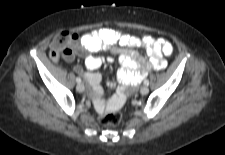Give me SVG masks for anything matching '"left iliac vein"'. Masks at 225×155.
Instances as JSON below:
<instances>
[{"label":"left iliac vein","mask_w":225,"mask_h":155,"mask_svg":"<svg viewBox=\"0 0 225 155\" xmlns=\"http://www.w3.org/2000/svg\"><path fill=\"white\" fill-rule=\"evenodd\" d=\"M148 92H149V88H148L147 86H142V87H141L140 93H141L142 95H146V94H148Z\"/></svg>","instance_id":"left-iliac-vein-1"}]
</instances>
